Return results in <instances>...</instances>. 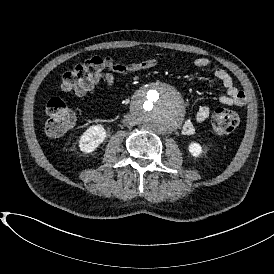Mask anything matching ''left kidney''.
I'll return each instance as SVG.
<instances>
[{
  "instance_id": "obj_1",
  "label": "left kidney",
  "mask_w": 274,
  "mask_h": 274,
  "mask_svg": "<svg viewBox=\"0 0 274 274\" xmlns=\"http://www.w3.org/2000/svg\"><path fill=\"white\" fill-rule=\"evenodd\" d=\"M202 151H203L202 147H201V145L199 143L192 142L189 145V152L194 157H199L202 154Z\"/></svg>"
}]
</instances>
